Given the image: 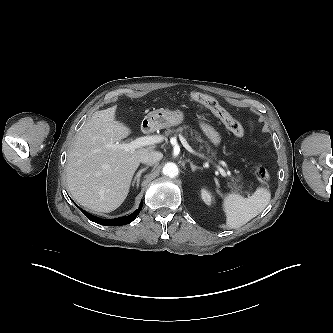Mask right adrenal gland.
<instances>
[{"label": "right adrenal gland", "instance_id": "right-adrenal-gland-1", "mask_svg": "<svg viewBox=\"0 0 333 333\" xmlns=\"http://www.w3.org/2000/svg\"><path fill=\"white\" fill-rule=\"evenodd\" d=\"M148 169V166H146L145 168H142L138 171V173L136 174L133 182H132V186L134 187V185L136 184V188L139 187V183H140V177H141V174L143 172H145L146 170Z\"/></svg>", "mask_w": 333, "mask_h": 333}]
</instances>
